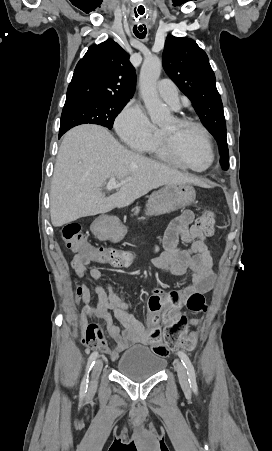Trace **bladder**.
I'll use <instances>...</instances> for the list:
<instances>
[{
	"mask_svg": "<svg viewBox=\"0 0 272 451\" xmlns=\"http://www.w3.org/2000/svg\"><path fill=\"white\" fill-rule=\"evenodd\" d=\"M166 366L163 355L144 345H133L125 350L117 361V372L133 381L140 382L147 376L159 374Z\"/></svg>",
	"mask_w": 272,
	"mask_h": 451,
	"instance_id": "obj_1",
	"label": "bladder"
}]
</instances>
